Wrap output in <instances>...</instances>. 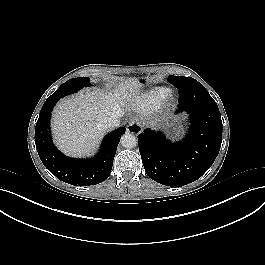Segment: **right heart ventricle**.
<instances>
[{"label":"right heart ventricle","mask_w":265,"mask_h":265,"mask_svg":"<svg viewBox=\"0 0 265 265\" xmlns=\"http://www.w3.org/2000/svg\"><path fill=\"white\" fill-rule=\"evenodd\" d=\"M170 89L167 87H154L139 96V106L142 111L150 112L169 95Z\"/></svg>","instance_id":"obj_1"}]
</instances>
